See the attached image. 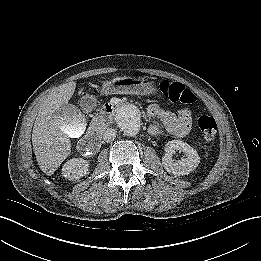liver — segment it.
<instances>
[{"label":"liver","instance_id":"6515ba94","mask_svg":"<svg viewBox=\"0 0 261 261\" xmlns=\"http://www.w3.org/2000/svg\"><path fill=\"white\" fill-rule=\"evenodd\" d=\"M76 82L60 85L51 91L39 106L38 114L32 131V144L40 169L48 176L52 175L61 163L70 155L71 135L64 125L60 113L73 96ZM75 135L83 132L84 118L81 111L74 107Z\"/></svg>","mask_w":261,"mask_h":261}]
</instances>
